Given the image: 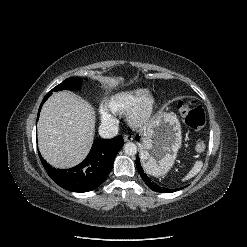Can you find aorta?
<instances>
[{
	"instance_id": "1",
	"label": "aorta",
	"mask_w": 247,
	"mask_h": 247,
	"mask_svg": "<svg viewBox=\"0 0 247 247\" xmlns=\"http://www.w3.org/2000/svg\"><path fill=\"white\" fill-rule=\"evenodd\" d=\"M124 153L128 156H134L137 153V146L132 142H127L124 145Z\"/></svg>"
}]
</instances>
